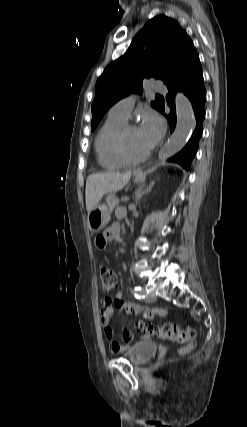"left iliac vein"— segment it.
Wrapping results in <instances>:
<instances>
[{
	"instance_id": "1",
	"label": "left iliac vein",
	"mask_w": 247,
	"mask_h": 427,
	"mask_svg": "<svg viewBox=\"0 0 247 427\" xmlns=\"http://www.w3.org/2000/svg\"><path fill=\"white\" fill-rule=\"evenodd\" d=\"M145 299L148 302H154V301H156V296L154 294H147Z\"/></svg>"
}]
</instances>
